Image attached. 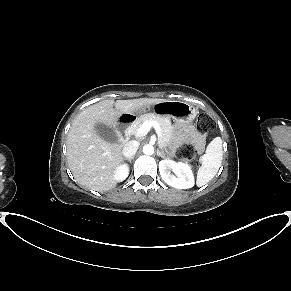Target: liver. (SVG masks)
I'll use <instances>...</instances> for the list:
<instances>
[{
	"label": "liver",
	"mask_w": 291,
	"mask_h": 291,
	"mask_svg": "<svg viewBox=\"0 0 291 291\" xmlns=\"http://www.w3.org/2000/svg\"><path fill=\"white\" fill-rule=\"evenodd\" d=\"M161 101L163 99L157 98L116 102L109 99L79 113L67 135V162L75 180L88 189L100 192L116 187L114 171L123 161L122 146L102 139L95 130L96 124L116 128L122 115H134Z\"/></svg>",
	"instance_id": "6515ba94"
}]
</instances>
